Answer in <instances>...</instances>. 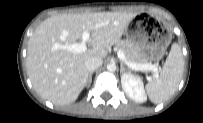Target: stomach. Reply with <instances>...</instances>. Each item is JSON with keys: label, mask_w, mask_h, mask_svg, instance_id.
<instances>
[{"label": "stomach", "mask_w": 203, "mask_h": 123, "mask_svg": "<svg viewBox=\"0 0 203 123\" xmlns=\"http://www.w3.org/2000/svg\"><path fill=\"white\" fill-rule=\"evenodd\" d=\"M126 35L150 62L162 59L172 39L171 32L160 20L147 15L126 29Z\"/></svg>", "instance_id": "obj_1"}]
</instances>
